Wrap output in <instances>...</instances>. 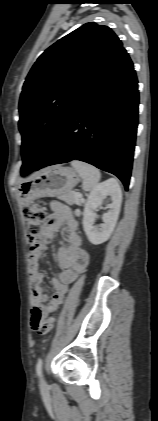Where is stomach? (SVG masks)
<instances>
[{
    "mask_svg": "<svg viewBox=\"0 0 158 421\" xmlns=\"http://www.w3.org/2000/svg\"><path fill=\"white\" fill-rule=\"evenodd\" d=\"M79 182L77 171L70 167L52 166L34 174L18 187L24 202L41 197H60L69 193Z\"/></svg>",
    "mask_w": 158,
    "mask_h": 421,
    "instance_id": "stomach-1",
    "label": "stomach"
}]
</instances>
